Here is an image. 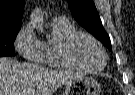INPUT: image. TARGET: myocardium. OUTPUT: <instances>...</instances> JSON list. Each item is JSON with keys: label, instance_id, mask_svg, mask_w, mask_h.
<instances>
[{"label": "myocardium", "instance_id": "1", "mask_svg": "<svg viewBox=\"0 0 135 95\" xmlns=\"http://www.w3.org/2000/svg\"><path fill=\"white\" fill-rule=\"evenodd\" d=\"M87 38L90 41H92L101 51L102 56H103V64L98 67V68H91V67H87L85 65H82L81 63H79L72 54V48L75 44V42L81 38ZM58 54L59 57L68 65L74 67V68H78L84 71H88V72H100L102 71L106 64H107V53L105 48L103 47V45L92 35L86 33V32H82V31H75L74 33L70 34L69 36H67L62 43L60 44L59 48H58Z\"/></svg>", "mask_w": 135, "mask_h": 95}]
</instances>
